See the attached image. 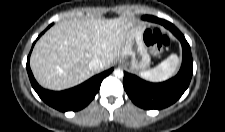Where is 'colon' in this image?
<instances>
[{
	"instance_id": "colon-1",
	"label": "colon",
	"mask_w": 225,
	"mask_h": 132,
	"mask_svg": "<svg viewBox=\"0 0 225 132\" xmlns=\"http://www.w3.org/2000/svg\"><path fill=\"white\" fill-rule=\"evenodd\" d=\"M143 40L156 56L164 53L169 45L168 38L157 29L146 30L143 35Z\"/></svg>"
}]
</instances>
